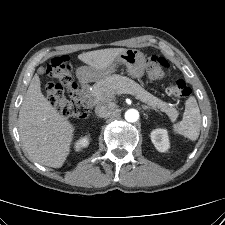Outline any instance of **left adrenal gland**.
I'll return each mask as SVG.
<instances>
[{"label":"left adrenal gland","instance_id":"1","mask_svg":"<svg viewBox=\"0 0 225 225\" xmlns=\"http://www.w3.org/2000/svg\"><path fill=\"white\" fill-rule=\"evenodd\" d=\"M142 107H143V109H145V110H150V109H153V108H151V107H149V106H146V105H142Z\"/></svg>","mask_w":225,"mask_h":225}]
</instances>
